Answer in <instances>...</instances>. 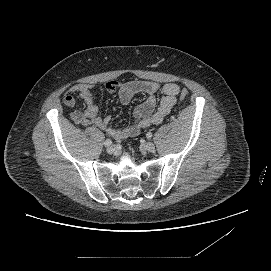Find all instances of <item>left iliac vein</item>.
<instances>
[{
	"mask_svg": "<svg viewBox=\"0 0 271 271\" xmlns=\"http://www.w3.org/2000/svg\"><path fill=\"white\" fill-rule=\"evenodd\" d=\"M143 149L149 152H152L155 150V145L151 142H146L143 145Z\"/></svg>",
	"mask_w": 271,
	"mask_h": 271,
	"instance_id": "obj_1",
	"label": "left iliac vein"
}]
</instances>
